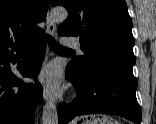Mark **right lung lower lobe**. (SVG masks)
Wrapping results in <instances>:
<instances>
[{
  "mask_svg": "<svg viewBox=\"0 0 156 124\" xmlns=\"http://www.w3.org/2000/svg\"><path fill=\"white\" fill-rule=\"evenodd\" d=\"M45 50L44 31L24 43L0 46V124H34V111L41 102L42 87L39 83L25 84L16 78L10 63L17 62V69L23 76L36 77Z\"/></svg>",
  "mask_w": 156,
  "mask_h": 124,
  "instance_id": "1",
  "label": "right lung lower lobe"
}]
</instances>
